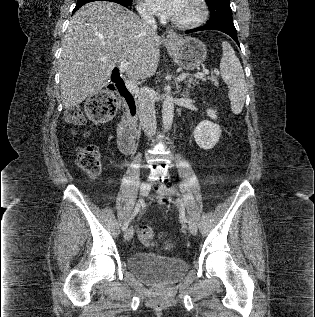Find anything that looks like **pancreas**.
<instances>
[{
    "instance_id": "1",
    "label": "pancreas",
    "mask_w": 315,
    "mask_h": 317,
    "mask_svg": "<svg viewBox=\"0 0 315 317\" xmlns=\"http://www.w3.org/2000/svg\"><path fill=\"white\" fill-rule=\"evenodd\" d=\"M187 76H188V79L186 80V83H187L188 88H192V85H194L195 83L198 84V82H196V80L194 78L189 77V75H187ZM200 79L203 81L210 80V81L214 82L215 85H218V81H217L215 76H211V77H207V78L202 77Z\"/></svg>"
}]
</instances>
